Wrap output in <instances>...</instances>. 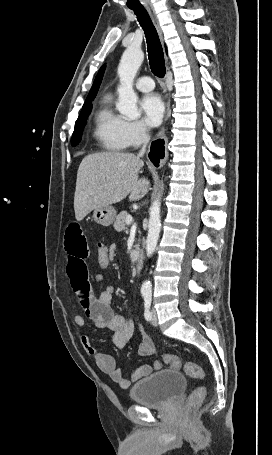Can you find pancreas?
<instances>
[{"label": "pancreas", "mask_w": 272, "mask_h": 455, "mask_svg": "<svg viewBox=\"0 0 272 455\" xmlns=\"http://www.w3.org/2000/svg\"><path fill=\"white\" fill-rule=\"evenodd\" d=\"M128 215L129 214L126 211H122L118 214V216L116 217V221L114 222V228L116 231L120 232L126 229L125 220Z\"/></svg>", "instance_id": "1"}]
</instances>
